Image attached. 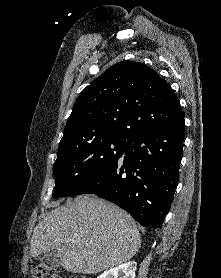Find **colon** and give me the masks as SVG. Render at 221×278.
I'll return each instance as SVG.
<instances>
[{"instance_id":"5ec220e1","label":"colon","mask_w":221,"mask_h":278,"mask_svg":"<svg viewBox=\"0 0 221 278\" xmlns=\"http://www.w3.org/2000/svg\"><path fill=\"white\" fill-rule=\"evenodd\" d=\"M29 265L35 278H63L56 268L46 264L39 257L31 258Z\"/></svg>"}]
</instances>
